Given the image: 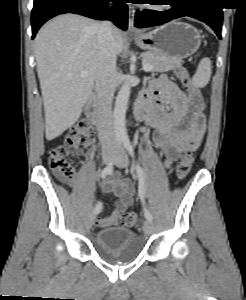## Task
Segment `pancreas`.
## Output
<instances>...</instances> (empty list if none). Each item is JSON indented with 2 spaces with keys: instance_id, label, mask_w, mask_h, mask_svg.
I'll return each mask as SVG.
<instances>
[{
  "instance_id": "pancreas-1",
  "label": "pancreas",
  "mask_w": 246,
  "mask_h": 300,
  "mask_svg": "<svg viewBox=\"0 0 246 300\" xmlns=\"http://www.w3.org/2000/svg\"><path fill=\"white\" fill-rule=\"evenodd\" d=\"M141 57L143 59V64H149L152 67L151 72L162 73L181 66V61H170L156 52H144L141 54Z\"/></svg>"
}]
</instances>
